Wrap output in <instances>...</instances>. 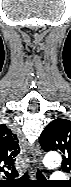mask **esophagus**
Listing matches in <instances>:
<instances>
[{"instance_id":"34e87169","label":"esophagus","mask_w":71,"mask_h":187,"mask_svg":"<svg viewBox=\"0 0 71 187\" xmlns=\"http://www.w3.org/2000/svg\"><path fill=\"white\" fill-rule=\"evenodd\" d=\"M42 157H43V152L38 144H36L32 150V156H31V163L34 167L36 168H41L42 167Z\"/></svg>"}]
</instances>
